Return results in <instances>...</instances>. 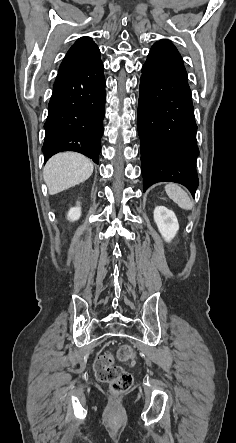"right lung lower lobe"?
<instances>
[{"instance_id": "1", "label": "right lung lower lobe", "mask_w": 236, "mask_h": 443, "mask_svg": "<svg viewBox=\"0 0 236 443\" xmlns=\"http://www.w3.org/2000/svg\"><path fill=\"white\" fill-rule=\"evenodd\" d=\"M103 63H61L44 124L45 161L62 151H76L98 164L105 116Z\"/></svg>"}]
</instances>
